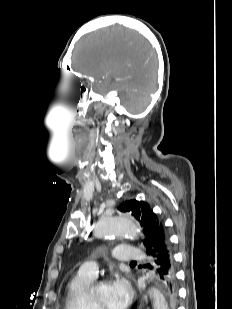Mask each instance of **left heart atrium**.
<instances>
[{
    "label": "left heart atrium",
    "instance_id": "1",
    "mask_svg": "<svg viewBox=\"0 0 232 309\" xmlns=\"http://www.w3.org/2000/svg\"><path fill=\"white\" fill-rule=\"evenodd\" d=\"M111 284L115 303L119 306V309H125L131 298V288L129 284L120 279Z\"/></svg>",
    "mask_w": 232,
    "mask_h": 309
}]
</instances>
